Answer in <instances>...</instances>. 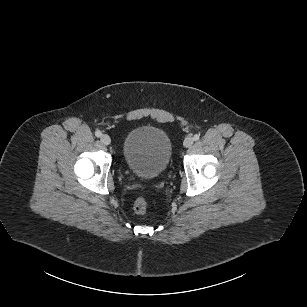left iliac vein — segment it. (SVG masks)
I'll use <instances>...</instances> for the list:
<instances>
[{"label": "left iliac vein", "mask_w": 307, "mask_h": 307, "mask_svg": "<svg viewBox=\"0 0 307 307\" xmlns=\"http://www.w3.org/2000/svg\"><path fill=\"white\" fill-rule=\"evenodd\" d=\"M193 138H191V137H187L185 140H184V146L186 147V148H188V147H191L192 146V144H193Z\"/></svg>", "instance_id": "4c4485c4"}]
</instances>
